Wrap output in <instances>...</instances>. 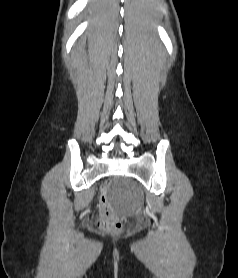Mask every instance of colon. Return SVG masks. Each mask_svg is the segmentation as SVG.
<instances>
[{
  "label": "colon",
  "mask_w": 238,
  "mask_h": 278,
  "mask_svg": "<svg viewBox=\"0 0 238 278\" xmlns=\"http://www.w3.org/2000/svg\"><path fill=\"white\" fill-rule=\"evenodd\" d=\"M99 204H101V218L97 223V227L105 232H118L122 224L116 214L108 206V199L106 197L109 193V186H100L98 190Z\"/></svg>",
  "instance_id": "colon-1"
}]
</instances>
